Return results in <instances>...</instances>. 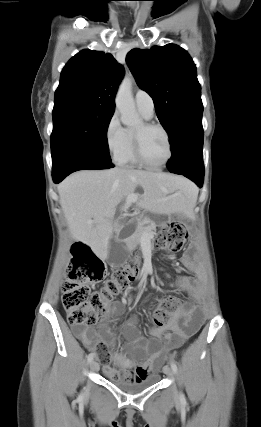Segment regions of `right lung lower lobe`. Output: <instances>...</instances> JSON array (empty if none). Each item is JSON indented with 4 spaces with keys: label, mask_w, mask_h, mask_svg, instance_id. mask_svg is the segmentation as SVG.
Listing matches in <instances>:
<instances>
[{
    "label": "right lung lower lobe",
    "mask_w": 261,
    "mask_h": 427,
    "mask_svg": "<svg viewBox=\"0 0 261 427\" xmlns=\"http://www.w3.org/2000/svg\"><path fill=\"white\" fill-rule=\"evenodd\" d=\"M111 161L96 160L82 156H65L53 161V180L57 184L72 172L83 169H109Z\"/></svg>",
    "instance_id": "1"
}]
</instances>
